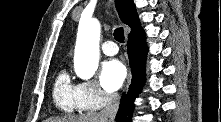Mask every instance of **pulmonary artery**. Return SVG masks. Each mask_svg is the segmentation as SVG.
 I'll list each match as a JSON object with an SVG mask.
<instances>
[{
  "label": "pulmonary artery",
  "instance_id": "e3ab8cb5",
  "mask_svg": "<svg viewBox=\"0 0 221 122\" xmlns=\"http://www.w3.org/2000/svg\"><path fill=\"white\" fill-rule=\"evenodd\" d=\"M102 51L104 52V54L112 56L117 54L118 47L113 41H105L102 44Z\"/></svg>",
  "mask_w": 221,
  "mask_h": 122
}]
</instances>
